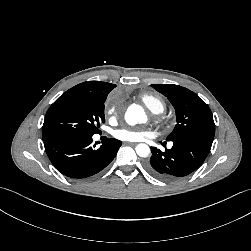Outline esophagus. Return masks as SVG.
<instances>
[{"mask_svg": "<svg viewBox=\"0 0 251 251\" xmlns=\"http://www.w3.org/2000/svg\"><path fill=\"white\" fill-rule=\"evenodd\" d=\"M126 144H127V145H132V146L136 145L135 142H126Z\"/></svg>", "mask_w": 251, "mask_h": 251, "instance_id": "34e87169", "label": "esophagus"}]
</instances>
